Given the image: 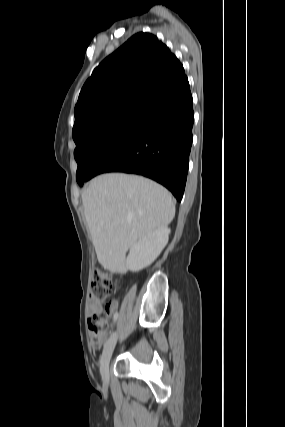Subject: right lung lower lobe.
Listing matches in <instances>:
<instances>
[{"mask_svg":"<svg viewBox=\"0 0 285 427\" xmlns=\"http://www.w3.org/2000/svg\"><path fill=\"white\" fill-rule=\"evenodd\" d=\"M193 121V99L184 74L149 98L138 118L87 180L105 172L139 174L164 185L181 201Z\"/></svg>","mask_w":285,"mask_h":427,"instance_id":"obj_1","label":"right lung lower lobe"}]
</instances>
